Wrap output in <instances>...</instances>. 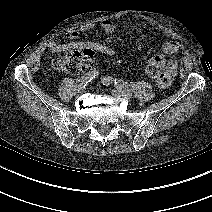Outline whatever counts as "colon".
<instances>
[{
    "label": "colon",
    "mask_w": 212,
    "mask_h": 212,
    "mask_svg": "<svg viewBox=\"0 0 212 212\" xmlns=\"http://www.w3.org/2000/svg\"><path fill=\"white\" fill-rule=\"evenodd\" d=\"M93 52L90 49L84 51H72L65 55L59 56L53 61V66L61 71L72 75L82 73L92 61ZM145 74L162 81L166 78L167 72L162 61L148 60L143 67Z\"/></svg>",
    "instance_id": "1"
}]
</instances>
